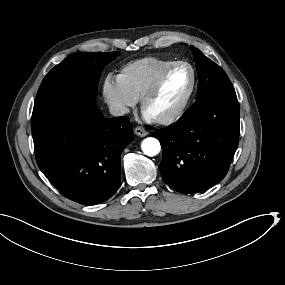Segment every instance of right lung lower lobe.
I'll return each mask as SVG.
<instances>
[{
  "label": "right lung lower lobe",
  "mask_w": 285,
  "mask_h": 285,
  "mask_svg": "<svg viewBox=\"0 0 285 285\" xmlns=\"http://www.w3.org/2000/svg\"><path fill=\"white\" fill-rule=\"evenodd\" d=\"M37 164L66 198L83 205L109 199L120 187L121 153L134 140L128 117L105 119L94 96L66 89L34 103Z\"/></svg>",
  "instance_id": "1"
}]
</instances>
